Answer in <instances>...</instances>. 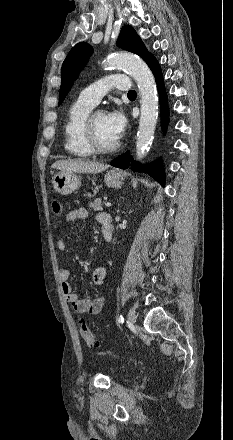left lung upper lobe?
Wrapping results in <instances>:
<instances>
[{"instance_id":"5c2ea615","label":"left lung upper lobe","mask_w":233,"mask_h":440,"mask_svg":"<svg viewBox=\"0 0 233 440\" xmlns=\"http://www.w3.org/2000/svg\"><path fill=\"white\" fill-rule=\"evenodd\" d=\"M117 44L122 49L139 55L145 62L153 56L151 53H148L142 40L131 26L126 25L122 27ZM92 51L93 49L89 44L81 42L76 44L68 53L61 69L62 83L59 104H61L71 89L74 80L87 63Z\"/></svg>"}]
</instances>
